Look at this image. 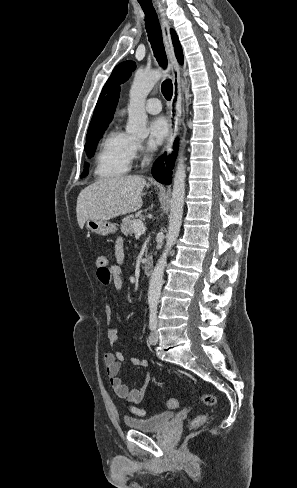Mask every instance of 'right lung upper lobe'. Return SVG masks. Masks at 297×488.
I'll list each match as a JSON object with an SVG mask.
<instances>
[{
	"mask_svg": "<svg viewBox=\"0 0 297 488\" xmlns=\"http://www.w3.org/2000/svg\"><path fill=\"white\" fill-rule=\"evenodd\" d=\"M120 95V88L114 89L110 92L102 103L96 107L93 118L90 122L87 135L93 132L97 127L104 124H109L113 119Z\"/></svg>",
	"mask_w": 297,
	"mask_h": 488,
	"instance_id": "right-lung-upper-lobe-1",
	"label": "right lung upper lobe"
}]
</instances>
